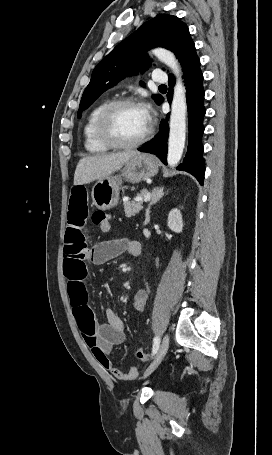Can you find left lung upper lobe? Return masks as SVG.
Here are the masks:
<instances>
[{
	"label": "left lung upper lobe",
	"instance_id": "obj_1",
	"mask_svg": "<svg viewBox=\"0 0 272 455\" xmlns=\"http://www.w3.org/2000/svg\"><path fill=\"white\" fill-rule=\"evenodd\" d=\"M156 46L174 52L182 67L198 58L186 24L176 16L158 15L141 25L97 64L83 93L78 118L107 89L134 72L145 71L151 64L145 52ZM140 84L144 86L143 82ZM153 98L158 103L162 96L156 94Z\"/></svg>",
	"mask_w": 272,
	"mask_h": 455
}]
</instances>
